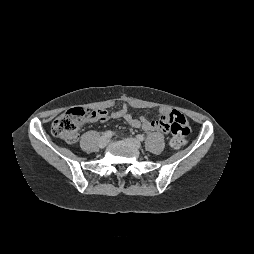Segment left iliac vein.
<instances>
[{"label":"left iliac vein","instance_id":"left-iliac-vein-1","mask_svg":"<svg viewBox=\"0 0 254 254\" xmlns=\"http://www.w3.org/2000/svg\"><path fill=\"white\" fill-rule=\"evenodd\" d=\"M128 142H130L131 144H133L136 148H140L141 147V143L135 139V138H127L126 139Z\"/></svg>","mask_w":254,"mask_h":254}]
</instances>
